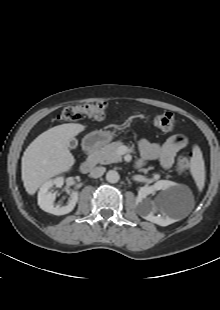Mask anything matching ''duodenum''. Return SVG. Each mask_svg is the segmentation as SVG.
<instances>
[{
    "instance_id": "duodenum-1",
    "label": "duodenum",
    "mask_w": 220,
    "mask_h": 310,
    "mask_svg": "<svg viewBox=\"0 0 220 310\" xmlns=\"http://www.w3.org/2000/svg\"><path fill=\"white\" fill-rule=\"evenodd\" d=\"M96 145L92 143L85 144V151L89 155V157L84 160L80 165V170L82 173H90L96 164L95 153H96Z\"/></svg>"
}]
</instances>
